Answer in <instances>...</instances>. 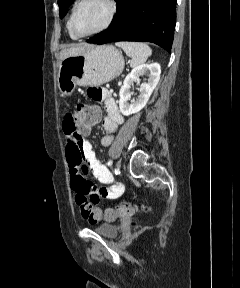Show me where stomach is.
Returning a JSON list of instances; mask_svg holds the SVG:
<instances>
[{"label":"stomach","mask_w":240,"mask_h":288,"mask_svg":"<svg viewBox=\"0 0 240 288\" xmlns=\"http://www.w3.org/2000/svg\"><path fill=\"white\" fill-rule=\"evenodd\" d=\"M124 68L121 51L113 45H90L60 62L58 88L70 96L77 86H100L118 77Z\"/></svg>","instance_id":"stomach-1"}]
</instances>
